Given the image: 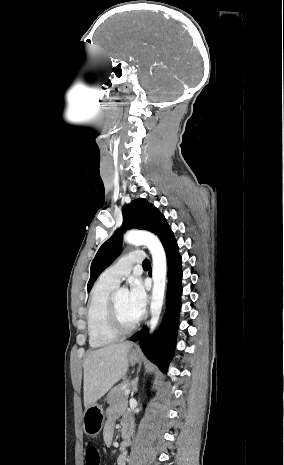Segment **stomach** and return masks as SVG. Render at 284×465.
Masks as SVG:
<instances>
[{"instance_id":"1","label":"stomach","mask_w":284,"mask_h":465,"mask_svg":"<svg viewBox=\"0 0 284 465\" xmlns=\"http://www.w3.org/2000/svg\"><path fill=\"white\" fill-rule=\"evenodd\" d=\"M140 355L137 351H131L128 355L130 365L138 363ZM105 421L104 411L101 405H90L83 413V431L88 437L99 435Z\"/></svg>"}]
</instances>
